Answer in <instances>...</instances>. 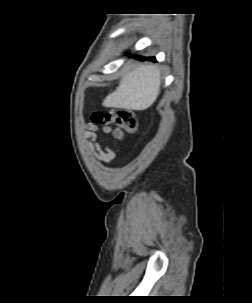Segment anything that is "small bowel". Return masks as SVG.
I'll list each match as a JSON object with an SVG mask.
<instances>
[{
    "mask_svg": "<svg viewBox=\"0 0 252 303\" xmlns=\"http://www.w3.org/2000/svg\"><path fill=\"white\" fill-rule=\"evenodd\" d=\"M97 131V127L93 125H87L84 128L83 134L85 146L98 161L110 163L120 152V149L103 147L101 143L96 140ZM102 132L105 134H111V136L116 140H122L124 138V132L119 128L112 129L109 126H106L102 128Z\"/></svg>",
    "mask_w": 252,
    "mask_h": 303,
    "instance_id": "obj_1",
    "label": "small bowel"
}]
</instances>
